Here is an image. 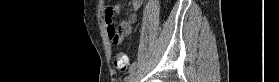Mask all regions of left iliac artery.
I'll return each instance as SVG.
<instances>
[{"instance_id": "obj_1", "label": "left iliac artery", "mask_w": 279, "mask_h": 82, "mask_svg": "<svg viewBox=\"0 0 279 82\" xmlns=\"http://www.w3.org/2000/svg\"><path fill=\"white\" fill-rule=\"evenodd\" d=\"M137 68V62H133L129 68V73H132Z\"/></svg>"}]
</instances>
